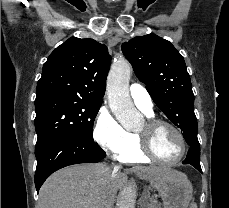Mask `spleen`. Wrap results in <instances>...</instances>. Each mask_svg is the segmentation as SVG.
Wrapping results in <instances>:
<instances>
[{
    "instance_id": "3e777b00",
    "label": "spleen",
    "mask_w": 229,
    "mask_h": 208,
    "mask_svg": "<svg viewBox=\"0 0 229 208\" xmlns=\"http://www.w3.org/2000/svg\"><path fill=\"white\" fill-rule=\"evenodd\" d=\"M191 208H197L196 204H192Z\"/></svg>"
}]
</instances>
